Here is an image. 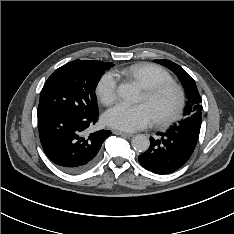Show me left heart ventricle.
Returning <instances> with one entry per match:
<instances>
[{"mask_svg": "<svg viewBox=\"0 0 234 234\" xmlns=\"http://www.w3.org/2000/svg\"><path fill=\"white\" fill-rule=\"evenodd\" d=\"M175 99L173 91H165L151 101H147L143 93L140 102L146 104L153 118H156L166 114L173 107Z\"/></svg>", "mask_w": 234, "mask_h": 234, "instance_id": "b2bd125f", "label": "left heart ventricle"}]
</instances>
